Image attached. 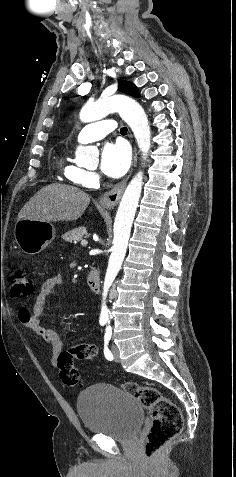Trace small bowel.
<instances>
[{"label":"small bowel","mask_w":236,"mask_h":477,"mask_svg":"<svg viewBox=\"0 0 236 477\" xmlns=\"http://www.w3.org/2000/svg\"><path fill=\"white\" fill-rule=\"evenodd\" d=\"M62 283V278L59 275L48 278L42 285L37 294L32 307L30 309L23 308L20 311V319L23 324L41 336L51 349L50 362L53 366H58L57 359L60 351L63 348L62 341L55 330L43 326L41 324V317L44 309L53 299L57 287ZM92 356L97 354L95 345L90 344Z\"/></svg>","instance_id":"obj_1"}]
</instances>
